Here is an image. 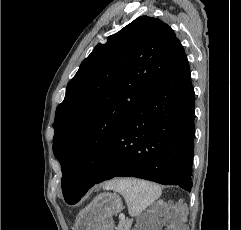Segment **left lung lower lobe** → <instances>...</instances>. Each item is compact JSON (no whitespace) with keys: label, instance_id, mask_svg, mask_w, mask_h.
<instances>
[{"label":"left lung lower lobe","instance_id":"obj_1","mask_svg":"<svg viewBox=\"0 0 241 230\" xmlns=\"http://www.w3.org/2000/svg\"><path fill=\"white\" fill-rule=\"evenodd\" d=\"M194 98L185 55L137 106L116 137L80 163L84 188L79 199L95 184L125 176L190 191Z\"/></svg>","mask_w":241,"mask_h":230}]
</instances>
